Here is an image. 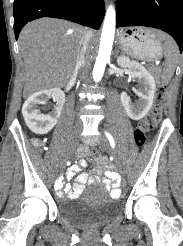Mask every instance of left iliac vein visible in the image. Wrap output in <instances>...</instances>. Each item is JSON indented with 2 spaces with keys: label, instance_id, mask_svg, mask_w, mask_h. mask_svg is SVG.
Wrapping results in <instances>:
<instances>
[{
  "label": "left iliac vein",
  "instance_id": "4c4485c4",
  "mask_svg": "<svg viewBox=\"0 0 183 246\" xmlns=\"http://www.w3.org/2000/svg\"><path fill=\"white\" fill-rule=\"evenodd\" d=\"M99 144H100V147L103 149V150H106L108 151L110 154H112V156L114 157V161L117 165V167L120 169V171L122 172L123 170V164H122V161L119 157V155L116 153V151H114L110 144H109V141L107 140V138L103 135H100V140H99Z\"/></svg>",
  "mask_w": 183,
  "mask_h": 246
}]
</instances>
